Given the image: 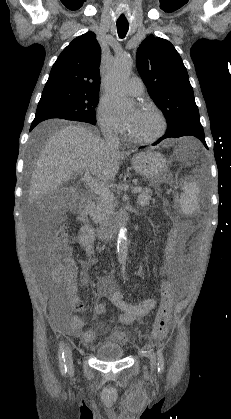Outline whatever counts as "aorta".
Masks as SVG:
<instances>
[{
	"instance_id": "obj_1",
	"label": "aorta",
	"mask_w": 231,
	"mask_h": 419,
	"mask_svg": "<svg viewBox=\"0 0 231 419\" xmlns=\"http://www.w3.org/2000/svg\"><path fill=\"white\" fill-rule=\"evenodd\" d=\"M132 66L133 60L129 55H119L115 58L106 75L105 87L118 112H123L130 107L125 86ZM117 254L119 263L125 265L128 259L127 228L125 226L120 227L118 233Z\"/></svg>"
}]
</instances>
